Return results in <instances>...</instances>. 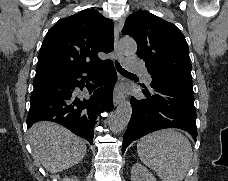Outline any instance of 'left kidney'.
Wrapping results in <instances>:
<instances>
[{"instance_id":"obj_1","label":"left kidney","mask_w":228,"mask_h":181,"mask_svg":"<svg viewBox=\"0 0 228 181\" xmlns=\"http://www.w3.org/2000/svg\"><path fill=\"white\" fill-rule=\"evenodd\" d=\"M131 181H156L152 173H149L148 169L140 163H135L131 167Z\"/></svg>"}]
</instances>
